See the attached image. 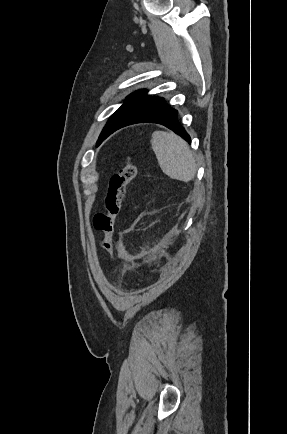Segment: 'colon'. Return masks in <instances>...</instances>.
I'll use <instances>...</instances> for the list:
<instances>
[{"mask_svg":"<svg viewBox=\"0 0 287 434\" xmlns=\"http://www.w3.org/2000/svg\"><path fill=\"white\" fill-rule=\"evenodd\" d=\"M137 175V167L131 158H127L119 171L109 181L104 197V208L95 214L94 227L101 233L100 247L106 259L113 254V234L115 220L120 214L127 189Z\"/></svg>","mask_w":287,"mask_h":434,"instance_id":"1","label":"colon"}]
</instances>
